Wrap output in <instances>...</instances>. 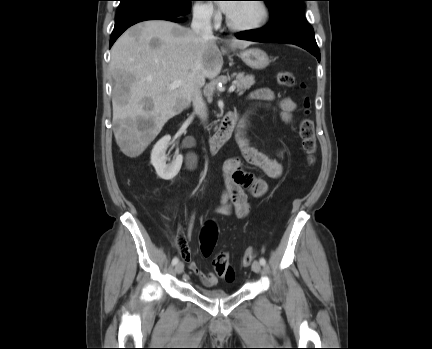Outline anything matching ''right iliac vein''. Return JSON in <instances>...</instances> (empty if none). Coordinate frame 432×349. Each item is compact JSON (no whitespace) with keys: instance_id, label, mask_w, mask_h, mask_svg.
I'll list each match as a JSON object with an SVG mask.
<instances>
[{"instance_id":"1","label":"right iliac vein","mask_w":432,"mask_h":349,"mask_svg":"<svg viewBox=\"0 0 432 349\" xmlns=\"http://www.w3.org/2000/svg\"><path fill=\"white\" fill-rule=\"evenodd\" d=\"M184 271V264L182 262L177 263L175 266V272L181 274Z\"/></svg>"}]
</instances>
